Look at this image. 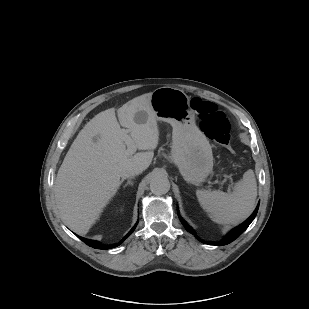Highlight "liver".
Segmentation results:
<instances>
[{
	"instance_id": "6515ba94",
	"label": "liver",
	"mask_w": 309,
	"mask_h": 309,
	"mask_svg": "<svg viewBox=\"0 0 309 309\" xmlns=\"http://www.w3.org/2000/svg\"><path fill=\"white\" fill-rule=\"evenodd\" d=\"M152 93L138 96L118 109L110 108L91 119L72 143L55 180V200L62 219L76 233L84 235L116 194L124 171L146 170L159 142ZM140 112L146 120L137 123ZM121 126L123 128H121ZM131 139L134 152L127 139Z\"/></svg>"
}]
</instances>
